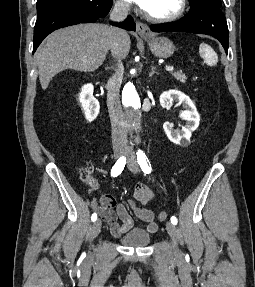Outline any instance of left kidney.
I'll return each mask as SVG.
<instances>
[{
    "mask_svg": "<svg viewBox=\"0 0 255 287\" xmlns=\"http://www.w3.org/2000/svg\"><path fill=\"white\" fill-rule=\"evenodd\" d=\"M173 102H178V106L182 104L184 110L181 114V118L182 120H186V124L182 126V130H174V124L165 122L163 126L164 132L173 144H188L192 132L197 130L199 126L200 116L192 100H190L189 96H185L183 92H179V90H169V92H163V94H161L160 104L162 108H170Z\"/></svg>",
    "mask_w": 255,
    "mask_h": 287,
    "instance_id": "1",
    "label": "left kidney"
}]
</instances>
